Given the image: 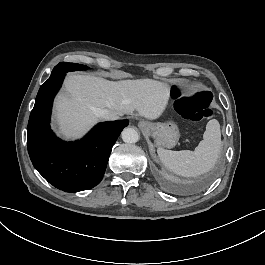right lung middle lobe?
Wrapping results in <instances>:
<instances>
[{"mask_svg": "<svg viewBox=\"0 0 265 265\" xmlns=\"http://www.w3.org/2000/svg\"><path fill=\"white\" fill-rule=\"evenodd\" d=\"M88 69L87 66H84L82 64H75V63H65L61 62L57 66L54 67L51 75H55L57 73L61 72H69V71H75V70H86Z\"/></svg>", "mask_w": 265, "mask_h": 265, "instance_id": "obj_1", "label": "right lung middle lobe"}]
</instances>
